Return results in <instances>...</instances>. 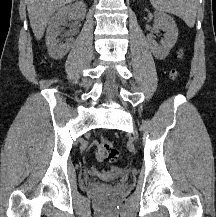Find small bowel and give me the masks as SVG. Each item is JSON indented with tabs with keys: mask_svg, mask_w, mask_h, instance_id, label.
I'll use <instances>...</instances> for the list:
<instances>
[{
	"mask_svg": "<svg viewBox=\"0 0 216 217\" xmlns=\"http://www.w3.org/2000/svg\"><path fill=\"white\" fill-rule=\"evenodd\" d=\"M90 150L95 152L97 150V143H92L90 146ZM120 172V168L111 167L109 169H101L95 164L91 166V173L93 176L101 178V179H112Z\"/></svg>",
	"mask_w": 216,
	"mask_h": 217,
	"instance_id": "obj_1",
	"label": "small bowel"
}]
</instances>
